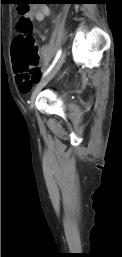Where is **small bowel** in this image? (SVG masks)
Instances as JSON below:
<instances>
[{
    "mask_svg": "<svg viewBox=\"0 0 122 257\" xmlns=\"http://www.w3.org/2000/svg\"><path fill=\"white\" fill-rule=\"evenodd\" d=\"M50 14H51V11L49 7H47L46 5H38L33 7V9L26 14L25 19L28 21H32V20L43 21L45 18L49 17ZM42 54H43L42 66L45 67L50 61V55L46 48L42 49ZM38 77L39 76L35 78L27 79L25 75L16 73V82H17L19 91L23 94H27L31 90L32 85L36 82Z\"/></svg>",
    "mask_w": 122,
    "mask_h": 257,
    "instance_id": "obj_1",
    "label": "small bowel"
}]
</instances>
